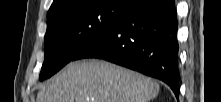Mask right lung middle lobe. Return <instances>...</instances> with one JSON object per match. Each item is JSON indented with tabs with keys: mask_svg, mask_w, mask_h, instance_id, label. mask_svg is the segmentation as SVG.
I'll return each mask as SVG.
<instances>
[{
	"mask_svg": "<svg viewBox=\"0 0 221 102\" xmlns=\"http://www.w3.org/2000/svg\"><path fill=\"white\" fill-rule=\"evenodd\" d=\"M130 0H84L47 20L45 60L39 79L51 77L89 44L120 21Z\"/></svg>",
	"mask_w": 221,
	"mask_h": 102,
	"instance_id": "dd1d6c3e",
	"label": "right lung middle lobe"
}]
</instances>
